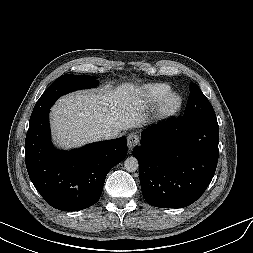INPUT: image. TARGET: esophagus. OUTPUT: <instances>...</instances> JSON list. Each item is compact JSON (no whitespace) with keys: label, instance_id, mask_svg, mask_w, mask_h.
Masks as SVG:
<instances>
[{"label":"esophagus","instance_id":"1","mask_svg":"<svg viewBox=\"0 0 253 253\" xmlns=\"http://www.w3.org/2000/svg\"><path fill=\"white\" fill-rule=\"evenodd\" d=\"M140 142V138L138 136L137 133L133 132L130 133L127 137V145L128 148L131 150L132 148H134L136 145H138Z\"/></svg>","mask_w":253,"mask_h":253}]
</instances>
